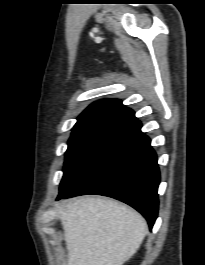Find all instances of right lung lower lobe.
<instances>
[{"instance_id":"98d812e1","label":"right lung lower lobe","mask_w":205,"mask_h":265,"mask_svg":"<svg viewBox=\"0 0 205 265\" xmlns=\"http://www.w3.org/2000/svg\"><path fill=\"white\" fill-rule=\"evenodd\" d=\"M135 121L57 200L85 194L113 197L138 210L152 229L158 213L160 172L151 140Z\"/></svg>"}]
</instances>
